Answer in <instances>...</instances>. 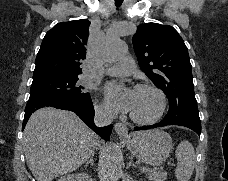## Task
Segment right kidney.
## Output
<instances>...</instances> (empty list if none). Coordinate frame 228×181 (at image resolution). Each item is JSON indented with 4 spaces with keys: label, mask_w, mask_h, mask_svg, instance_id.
<instances>
[{
    "label": "right kidney",
    "mask_w": 228,
    "mask_h": 181,
    "mask_svg": "<svg viewBox=\"0 0 228 181\" xmlns=\"http://www.w3.org/2000/svg\"><path fill=\"white\" fill-rule=\"evenodd\" d=\"M58 181H90L89 175L86 173H76V175H66V177H61Z\"/></svg>",
    "instance_id": "obj_1"
}]
</instances>
